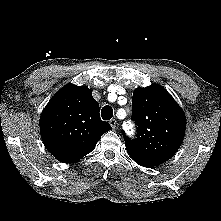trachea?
<instances>
[{
  "label": "trachea",
  "instance_id": "3493384b",
  "mask_svg": "<svg viewBox=\"0 0 221 221\" xmlns=\"http://www.w3.org/2000/svg\"><path fill=\"white\" fill-rule=\"evenodd\" d=\"M103 120H110L113 117V109L110 106H104L101 110Z\"/></svg>",
  "mask_w": 221,
  "mask_h": 221
}]
</instances>
